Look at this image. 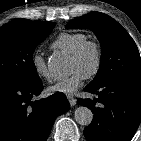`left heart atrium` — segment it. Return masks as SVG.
<instances>
[{"label":"left heart atrium","instance_id":"1","mask_svg":"<svg viewBox=\"0 0 141 141\" xmlns=\"http://www.w3.org/2000/svg\"><path fill=\"white\" fill-rule=\"evenodd\" d=\"M85 76L79 71H73L67 78L57 81L49 91L51 93L73 94L82 84Z\"/></svg>","mask_w":141,"mask_h":141}]
</instances>
